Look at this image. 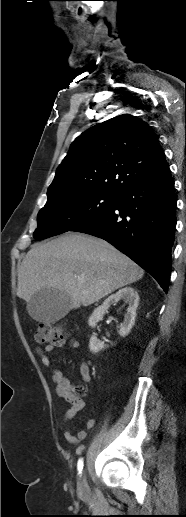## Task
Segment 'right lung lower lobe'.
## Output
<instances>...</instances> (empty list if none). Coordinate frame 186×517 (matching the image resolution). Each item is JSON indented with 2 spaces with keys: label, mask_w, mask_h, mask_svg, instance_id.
Wrapping results in <instances>:
<instances>
[{
  "label": "right lung lower lobe",
  "mask_w": 186,
  "mask_h": 517,
  "mask_svg": "<svg viewBox=\"0 0 186 517\" xmlns=\"http://www.w3.org/2000/svg\"><path fill=\"white\" fill-rule=\"evenodd\" d=\"M176 202L168 168L157 178L127 189L112 208L71 231L106 240L150 273L167 293Z\"/></svg>",
  "instance_id": "98d812e1"
}]
</instances>
